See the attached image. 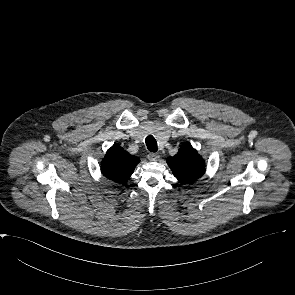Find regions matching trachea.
I'll return each instance as SVG.
<instances>
[{
    "label": "trachea",
    "mask_w": 295,
    "mask_h": 295,
    "mask_svg": "<svg viewBox=\"0 0 295 295\" xmlns=\"http://www.w3.org/2000/svg\"><path fill=\"white\" fill-rule=\"evenodd\" d=\"M145 142H146V145H147V148L149 151L151 152H156L157 151V142H156V139L149 135L146 139H145Z\"/></svg>",
    "instance_id": "1"
}]
</instances>
